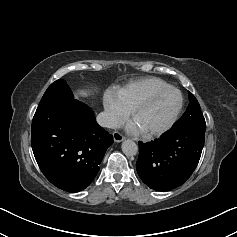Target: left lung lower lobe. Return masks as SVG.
<instances>
[{
	"mask_svg": "<svg viewBox=\"0 0 237 237\" xmlns=\"http://www.w3.org/2000/svg\"><path fill=\"white\" fill-rule=\"evenodd\" d=\"M204 140V128H182L171 129L155 141L140 142L138 175L154 190L181 186L195 170Z\"/></svg>",
	"mask_w": 237,
	"mask_h": 237,
	"instance_id": "obj_1",
	"label": "left lung lower lobe"
}]
</instances>
